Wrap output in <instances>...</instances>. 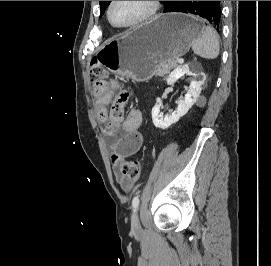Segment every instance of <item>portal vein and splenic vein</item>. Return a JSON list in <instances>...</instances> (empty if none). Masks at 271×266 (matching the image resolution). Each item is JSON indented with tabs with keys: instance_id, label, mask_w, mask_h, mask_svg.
I'll list each match as a JSON object with an SVG mask.
<instances>
[{
	"instance_id": "portal-vein-and-splenic-vein-1",
	"label": "portal vein and splenic vein",
	"mask_w": 271,
	"mask_h": 266,
	"mask_svg": "<svg viewBox=\"0 0 271 266\" xmlns=\"http://www.w3.org/2000/svg\"><path fill=\"white\" fill-rule=\"evenodd\" d=\"M178 63H179V64L184 63V59H183V58L178 59Z\"/></svg>"
}]
</instances>
